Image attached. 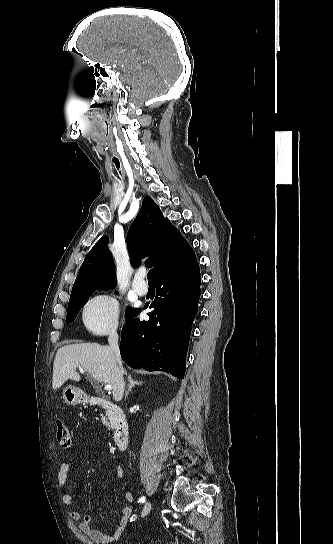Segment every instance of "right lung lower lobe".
<instances>
[{
	"instance_id": "98d812e1",
	"label": "right lung lower lobe",
	"mask_w": 333,
	"mask_h": 544,
	"mask_svg": "<svg viewBox=\"0 0 333 544\" xmlns=\"http://www.w3.org/2000/svg\"><path fill=\"white\" fill-rule=\"evenodd\" d=\"M200 297L198 262L157 279L156 299L148 321L134 319L141 309L126 318L120 353L132 368L165 371L184 378L186 353ZM148 304L144 308H147Z\"/></svg>"
}]
</instances>
